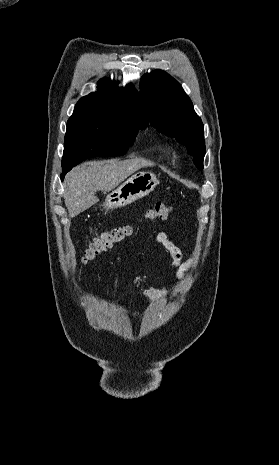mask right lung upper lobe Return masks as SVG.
Instances as JSON below:
<instances>
[{
	"label": "right lung upper lobe",
	"mask_w": 279,
	"mask_h": 465,
	"mask_svg": "<svg viewBox=\"0 0 279 465\" xmlns=\"http://www.w3.org/2000/svg\"><path fill=\"white\" fill-rule=\"evenodd\" d=\"M122 121L136 122L143 128L147 126L138 92L132 84L119 88L114 81L102 79L97 92L78 101L67 122V129Z\"/></svg>",
	"instance_id": "1"
}]
</instances>
